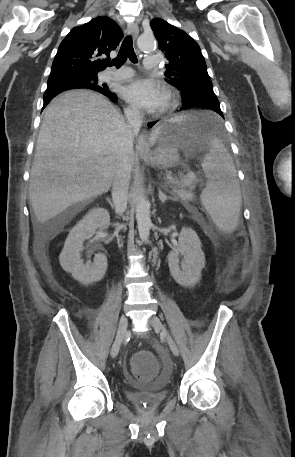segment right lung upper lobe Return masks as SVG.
<instances>
[{
    "instance_id": "right-lung-upper-lobe-1",
    "label": "right lung upper lobe",
    "mask_w": 295,
    "mask_h": 457,
    "mask_svg": "<svg viewBox=\"0 0 295 457\" xmlns=\"http://www.w3.org/2000/svg\"><path fill=\"white\" fill-rule=\"evenodd\" d=\"M122 37L120 27L108 17H96L74 27L59 46L48 83L80 82L83 78L97 76L106 68L110 51L119 45ZM101 55H106L107 59H97Z\"/></svg>"
}]
</instances>
